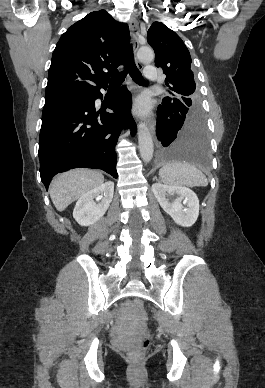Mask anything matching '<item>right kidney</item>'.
Here are the masks:
<instances>
[{
	"mask_svg": "<svg viewBox=\"0 0 265 388\" xmlns=\"http://www.w3.org/2000/svg\"><path fill=\"white\" fill-rule=\"evenodd\" d=\"M114 194V182H105L102 186L90 190L79 198L73 212V218L80 226H91L107 212ZM98 200V204L94 202ZM101 200V202H99Z\"/></svg>",
	"mask_w": 265,
	"mask_h": 388,
	"instance_id": "right-kidney-1",
	"label": "right kidney"
}]
</instances>
